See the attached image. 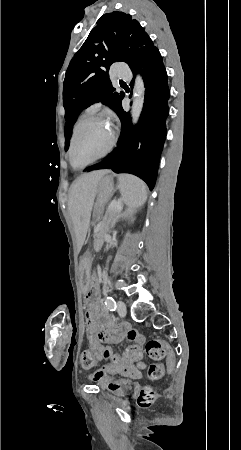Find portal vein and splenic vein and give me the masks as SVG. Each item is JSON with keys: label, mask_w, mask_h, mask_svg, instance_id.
Segmentation results:
<instances>
[{"label": "portal vein and splenic vein", "mask_w": 241, "mask_h": 450, "mask_svg": "<svg viewBox=\"0 0 241 450\" xmlns=\"http://www.w3.org/2000/svg\"><path fill=\"white\" fill-rule=\"evenodd\" d=\"M108 206L109 207H113V208L111 210H107V211H111L112 213H117L118 214V213L122 212L121 207L123 206V203L119 202L118 204H114L113 202H109Z\"/></svg>", "instance_id": "18ae733b"}]
</instances>
